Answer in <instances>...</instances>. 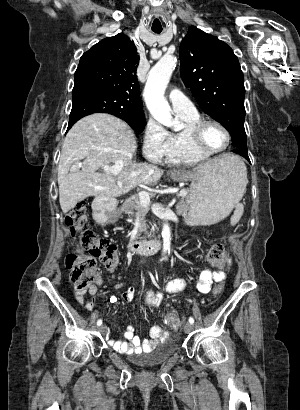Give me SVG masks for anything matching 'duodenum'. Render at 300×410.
I'll return each instance as SVG.
<instances>
[{
  "label": "duodenum",
  "instance_id": "obj_1",
  "mask_svg": "<svg viewBox=\"0 0 300 410\" xmlns=\"http://www.w3.org/2000/svg\"><path fill=\"white\" fill-rule=\"evenodd\" d=\"M113 201L110 198H101L93 204V214L97 222L108 223V215L112 212ZM133 253L153 254L160 248V244L155 240L138 241L132 240L127 245Z\"/></svg>",
  "mask_w": 300,
  "mask_h": 410
}]
</instances>
